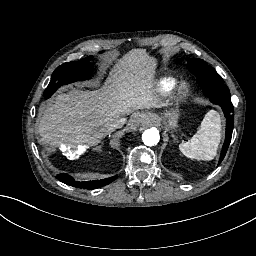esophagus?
I'll use <instances>...</instances> for the list:
<instances>
[{
    "instance_id": "obj_1",
    "label": "esophagus",
    "mask_w": 256,
    "mask_h": 256,
    "mask_svg": "<svg viewBox=\"0 0 256 256\" xmlns=\"http://www.w3.org/2000/svg\"><path fill=\"white\" fill-rule=\"evenodd\" d=\"M136 122L143 124L144 126H149L153 124V119L148 117L146 114H141L136 118Z\"/></svg>"
}]
</instances>
